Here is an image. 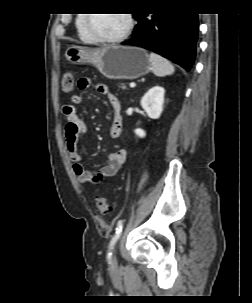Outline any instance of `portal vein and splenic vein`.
Here are the masks:
<instances>
[{"label":"portal vein and splenic vein","mask_w":252,"mask_h":303,"mask_svg":"<svg viewBox=\"0 0 252 303\" xmlns=\"http://www.w3.org/2000/svg\"><path fill=\"white\" fill-rule=\"evenodd\" d=\"M135 86H136L135 83H130L131 88H134Z\"/></svg>","instance_id":"portal-vein-and-splenic-vein-1"}]
</instances>
